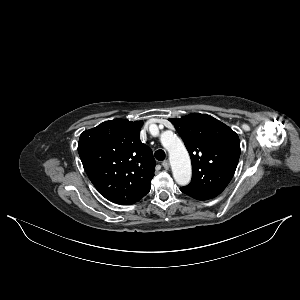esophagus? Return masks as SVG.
<instances>
[{"label":"esophagus","mask_w":300,"mask_h":300,"mask_svg":"<svg viewBox=\"0 0 300 300\" xmlns=\"http://www.w3.org/2000/svg\"><path fill=\"white\" fill-rule=\"evenodd\" d=\"M162 166L164 167V169L168 170L170 165H169V161L168 160H165L162 162Z\"/></svg>","instance_id":"esophagus-1"}]
</instances>
